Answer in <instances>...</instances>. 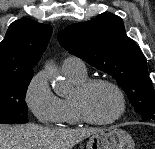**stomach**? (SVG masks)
Instances as JSON below:
<instances>
[{"mask_svg": "<svg viewBox=\"0 0 155 149\" xmlns=\"http://www.w3.org/2000/svg\"><path fill=\"white\" fill-rule=\"evenodd\" d=\"M87 149H135V143L125 130L110 127L91 135Z\"/></svg>", "mask_w": 155, "mask_h": 149, "instance_id": "obj_1", "label": "stomach"}]
</instances>
